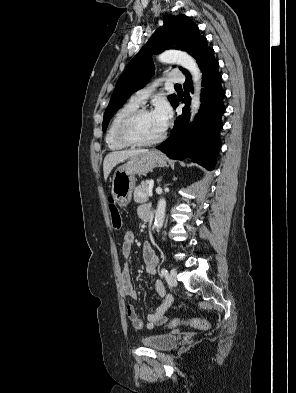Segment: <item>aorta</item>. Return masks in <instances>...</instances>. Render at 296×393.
<instances>
[{"mask_svg": "<svg viewBox=\"0 0 296 393\" xmlns=\"http://www.w3.org/2000/svg\"><path fill=\"white\" fill-rule=\"evenodd\" d=\"M159 61L163 63H178L185 69H187L192 75V79L194 82V95L192 96L191 104H190V113H191V121L193 120L195 114L198 112L200 107V90H201V71L195 61V59L189 54L177 51V50H169L165 51L158 57ZM165 210H166V201L164 198H161L158 201L154 226L157 230L161 229L164 223L165 218Z\"/></svg>", "mask_w": 296, "mask_h": 393, "instance_id": "obj_1", "label": "aorta"}]
</instances>
